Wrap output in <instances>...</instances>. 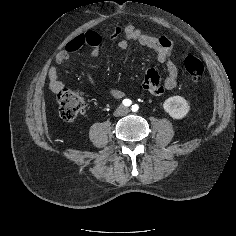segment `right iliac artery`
I'll list each match as a JSON object with an SVG mask.
<instances>
[{"mask_svg": "<svg viewBox=\"0 0 236 236\" xmlns=\"http://www.w3.org/2000/svg\"><path fill=\"white\" fill-rule=\"evenodd\" d=\"M132 104L131 100L130 99H124L123 100V105L124 106H130Z\"/></svg>", "mask_w": 236, "mask_h": 236, "instance_id": "1", "label": "right iliac artery"}]
</instances>
